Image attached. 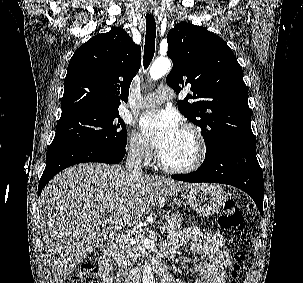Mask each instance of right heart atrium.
Here are the masks:
<instances>
[{
  "label": "right heart atrium",
  "instance_id": "1",
  "mask_svg": "<svg viewBox=\"0 0 303 283\" xmlns=\"http://www.w3.org/2000/svg\"><path fill=\"white\" fill-rule=\"evenodd\" d=\"M128 149L130 154L139 161L149 160L152 154L148 143L136 132H132L129 136Z\"/></svg>",
  "mask_w": 303,
  "mask_h": 283
}]
</instances>
